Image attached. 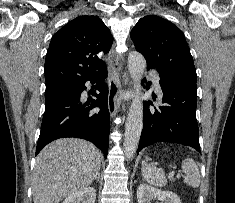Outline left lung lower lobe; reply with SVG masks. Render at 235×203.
<instances>
[{
    "label": "left lung lower lobe",
    "instance_id": "left-lung-lower-lobe-1",
    "mask_svg": "<svg viewBox=\"0 0 235 203\" xmlns=\"http://www.w3.org/2000/svg\"><path fill=\"white\" fill-rule=\"evenodd\" d=\"M148 69H154L147 66ZM158 72V71H157ZM163 91L159 108L144 103V125L139 151L156 142H171L193 147L199 153V130L196 119V84L158 72ZM148 89V88H147ZM155 99V98H153Z\"/></svg>",
    "mask_w": 235,
    "mask_h": 203
}]
</instances>
